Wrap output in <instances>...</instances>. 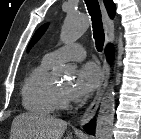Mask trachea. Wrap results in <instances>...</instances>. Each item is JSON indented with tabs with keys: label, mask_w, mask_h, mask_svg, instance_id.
Wrapping results in <instances>:
<instances>
[{
	"label": "trachea",
	"mask_w": 141,
	"mask_h": 139,
	"mask_svg": "<svg viewBox=\"0 0 141 139\" xmlns=\"http://www.w3.org/2000/svg\"><path fill=\"white\" fill-rule=\"evenodd\" d=\"M92 18L93 35L96 43V49L101 52L104 45L105 34L103 30L101 11L98 0H84Z\"/></svg>",
	"instance_id": "3493384b"
}]
</instances>
